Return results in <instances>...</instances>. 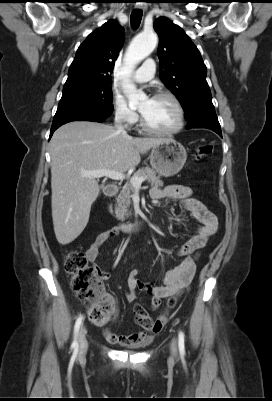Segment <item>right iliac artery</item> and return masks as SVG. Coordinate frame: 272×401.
Returning <instances> with one entry per match:
<instances>
[{"label":"right iliac artery","mask_w":272,"mask_h":401,"mask_svg":"<svg viewBox=\"0 0 272 401\" xmlns=\"http://www.w3.org/2000/svg\"><path fill=\"white\" fill-rule=\"evenodd\" d=\"M82 320H83V316H79L78 319L76 320L75 326H74V340H73V343H72V347L74 348L75 353H77V351H78L77 334H78L80 325L82 323Z\"/></svg>","instance_id":"obj_1"}]
</instances>
